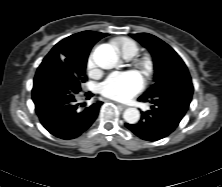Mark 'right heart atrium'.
<instances>
[{"instance_id": "obj_1", "label": "right heart atrium", "mask_w": 222, "mask_h": 187, "mask_svg": "<svg viewBox=\"0 0 222 187\" xmlns=\"http://www.w3.org/2000/svg\"><path fill=\"white\" fill-rule=\"evenodd\" d=\"M95 66H96V64H95V61H94V57L91 54L88 58V61H87V68L92 71V70L95 69Z\"/></svg>"}]
</instances>
